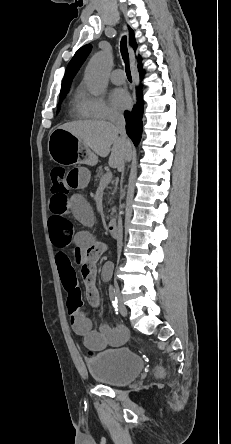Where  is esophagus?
<instances>
[{"label": "esophagus", "instance_id": "esophagus-1", "mask_svg": "<svg viewBox=\"0 0 231 444\" xmlns=\"http://www.w3.org/2000/svg\"><path fill=\"white\" fill-rule=\"evenodd\" d=\"M129 54H130V58H131V62L133 63V51L131 48H129ZM134 103H136V97L134 95Z\"/></svg>", "mask_w": 231, "mask_h": 444}]
</instances>
